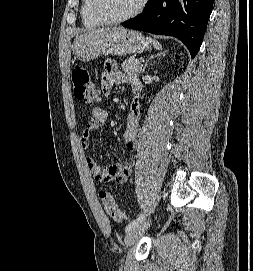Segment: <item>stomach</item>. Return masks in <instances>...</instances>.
Here are the masks:
<instances>
[{
  "mask_svg": "<svg viewBox=\"0 0 253 271\" xmlns=\"http://www.w3.org/2000/svg\"><path fill=\"white\" fill-rule=\"evenodd\" d=\"M148 40L139 31L115 28L97 31L75 40V56L88 62L104 55L123 56L143 52Z\"/></svg>",
  "mask_w": 253,
  "mask_h": 271,
  "instance_id": "1",
  "label": "stomach"
}]
</instances>
